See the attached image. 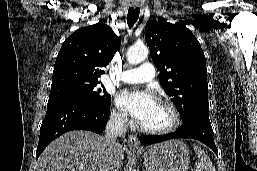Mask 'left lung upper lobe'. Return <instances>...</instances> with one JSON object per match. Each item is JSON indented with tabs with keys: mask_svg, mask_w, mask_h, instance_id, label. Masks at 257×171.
Listing matches in <instances>:
<instances>
[{
	"mask_svg": "<svg viewBox=\"0 0 257 171\" xmlns=\"http://www.w3.org/2000/svg\"><path fill=\"white\" fill-rule=\"evenodd\" d=\"M159 81L172 97L182 122L209 120L207 69L203 50L193 33L183 25L160 20L145 34Z\"/></svg>",
	"mask_w": 257,
	"mask_h": 171,
	"instance_id": "1",
	"label": "left lung upper lobe"
}]
</instances>
